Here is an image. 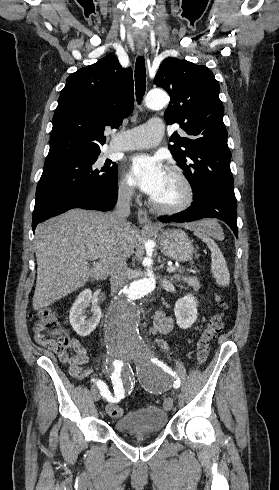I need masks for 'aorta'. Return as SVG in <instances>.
I'll list each match as a JSON object with an SVG mask.
<instances>
[{
	"mask_svg": "<svg viewBox=\"0 0 279 490\" xmlns=\"http://www.w3.org/2000/svg\"><path fill=\"white\" fill-rule=\"evenodd\" d=\"M168 103L169 96L160 90L150 91L145 99L146 107L152 110L162 109ZM143 263L147 267L146 278L132 282L121 296L111 302L107 310L105 334L106 339L112 345L140 343L139 314L134 301L152 292L156 286L155 276L151 268L152 260L145 258Z\"/></svg>",
	"mask_w": 279,
	"mask_h": 490,
	"instance_id": "762f6f07",
	"label": "aorta"
}]
</instances>
